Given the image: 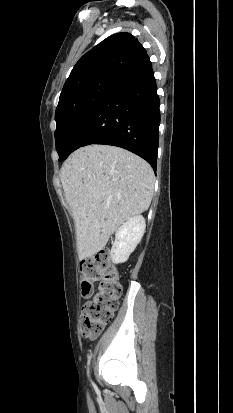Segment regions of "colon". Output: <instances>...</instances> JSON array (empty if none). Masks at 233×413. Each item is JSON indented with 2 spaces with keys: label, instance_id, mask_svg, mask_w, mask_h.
Instances as JSON below:
<instances>
[{
  "label": "colon",
  "instance_id": "1",
  "mask_svg": "<svg viewBox=\"0 0 233 413\" xmlns=\"http://www.w3.org/2000/svg\"><path fill=\"white\" fill-rule=\"evenodd\" d=\"M80 270L83 296H91L95 285H98L97 291L83 307L80 324L84 338H95L111 321L118 308L122 288L117 269L111 264L106 250L83 260Z\"/></svg>",
  "mask_w": 233,
  "mask_h": 413
}]
</instances>
